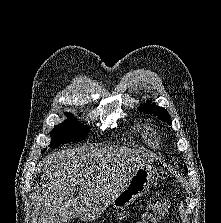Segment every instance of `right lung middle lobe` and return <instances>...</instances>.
Returning a JSON list of instances; mask_svg holds the SVG:
<instances>
[{
	"label": "right lung middle lobe",
	"instance_id": "dd1d6c3e",
	"mask_svg": "<svg viewBox=\"0 0 221 223\" xmlns=\"http://www.w3.org/2000/svg\"><path fill=\"white\" fill-rule=\"evenodd\" d=\"M65 115L68 117L66 122L56 125L51 132V144L49 145L51 148L71 141H81L89 132V129L78 122L72 114L65 113Z\"/></svg>",
	"mask_w": 221,
	"mask_h": 223
}]
</instances>
